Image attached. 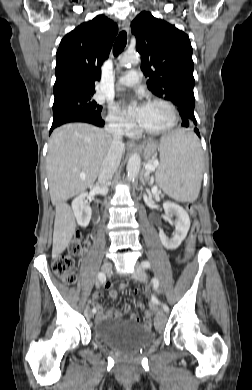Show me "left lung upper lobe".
Instances as JSON below:
<instances>
[{
  "instance_id": "1",
  "label": "left lung upper lobe",
  "mask_w": 252,
  "mask_h": 390,
  "mask_svg": "<svg viewBox=\"0 0 252 390\" xmlns=\"http://www.w3.org/2000/svg\"><path fill=\"white\" fill-rule=\"evenodd\" d=\"M141 70L147 87L156 96L172 101L180 115H194L192 46L189 37L149 12H141L131 23Z\"/></svg>"
}]
</instances>
